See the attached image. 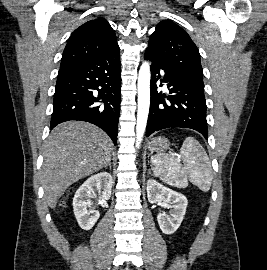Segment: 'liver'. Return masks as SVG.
Masks as SVG:
<instances>
[{
	"label": "liver",
	"mask_w": 267,
	"mask_h": 270,
	"mask_svg": "<svg viewBox=\"0 0 267 270\" xmlns=\"http://www.w3.org/2000/svg\"><path fill=\"white\" fill-rule=\"evenodd\" d=\"M112 150L108 135L92 124L68 121L55 127L44 147L41 171L49 207L54 209L73 183L105 167Z\"/></svg>",
	"instance_id": "liver-1"
}]
</instances>
